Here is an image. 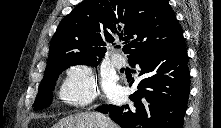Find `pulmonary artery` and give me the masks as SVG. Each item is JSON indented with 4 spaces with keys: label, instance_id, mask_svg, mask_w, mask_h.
Segmentation results:
<instances>
[{
    "label": "pulmonary artery",
    "instance_id": "obj_1",
    "mask_svg": "<svg viewBox=\"0 0 221 128\" xmlns=\"http://www.w3.org/2000/svg\"><path fill=\"white\" fill-rule=\"evenodd\" d=\"M112 63L115 67L122 68L125 66L126 60L118 53H114L112 55Z\"/></svg>",
    "mask_w": 221,
    "mask_h": 128
}]
</instances>
